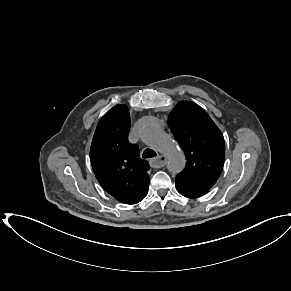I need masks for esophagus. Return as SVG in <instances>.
<instances>
[{
    "instance_id": "34e87169",
    "label": "esophagus",
    "mask_w": 291,
    "mask_h": 291,
    "mask_svg": "<svg viewBox=\"0 0 291 291\" xmlns=\"http://www.w3.org/2000/svg\"><path fill=\"white\" fill-rule=\"evenodd\" d=\"M167 164V158L164 155H158L150 160V165L153 168H161Z\"/></svg>"
}]
</instances>
